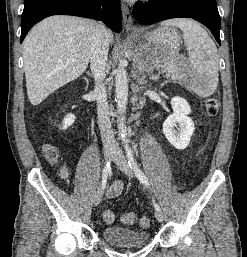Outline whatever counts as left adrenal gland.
<instances>
[{
    "label": "left adrenal gland",
    "instance_id": "obj_1",
    "mask_svg": "<svg viewBox=\"0 0 247 257\" xmlns=\"http://www.w3.org/2000/svg\"><path fill=\"white\" fill-rule=\"evenodd\" d=\"M149 79L153 80V81H157L159 79V74H157V75H150Z\"/></svg>",
    "mask_w": 247,
    "mask_h": 257
}]
</instances>
